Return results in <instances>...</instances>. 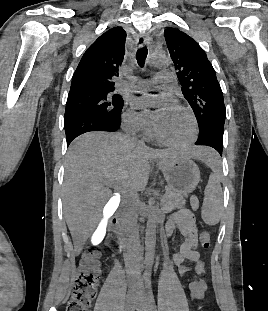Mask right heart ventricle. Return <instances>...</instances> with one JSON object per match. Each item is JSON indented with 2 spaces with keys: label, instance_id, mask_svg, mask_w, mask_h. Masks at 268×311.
Here are the masks:
<instances>
[{
  "label": "right heart ventricle",
  "instance_id": "1",
  "mask_svg": "<svg viewBox=\"0 0 268 311\" xmlns=\"http://www.w3.org/2000/svg\"><path fill=\"white\" fill-rule=\"evenodd\" d=\"M147 134V136H149L150 135V133L148 132V133H146Z\"/></svg>",
  "mask_w": 268,
  "mask_h": 311
}]
</instances>
